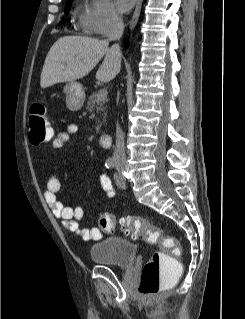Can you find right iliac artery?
<instances>
[{
    "label": "right iliac artery",
    "mask_w": 245,
    "mask_h": 319,
    "mask_svg": "<svg viewBox=\"0 0 245 319\" xmlns=\"http://www.w3.org/2000/svg\"><path fill=\"white\" fill-rule=\"evenodd\" d=\"M105 166L108 168V169H112L114 166H115V161L113 158H109L106 160V163H105Z\"/></svg>",
    "instance_id": "82829eb1"
}]
</instances>
